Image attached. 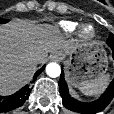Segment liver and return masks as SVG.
<instances>
[{
	"label": "liver",
	"mask_w": 114,
	"mask_h": 114,
	"mask_svg": "<svg viewBox=\"0 0 114 114\" xmlns=\"http://www.w3.org/2000/svg\"><path fill=\"white\" fill-rule=\"evenodd\" d=\"M73 47L74 41L66 40L50 24L18 19L0 25V95H10L25 85L49 52H68Z\"/></svg>",
	"instance_id": "liver-1"
}]
</instances>
